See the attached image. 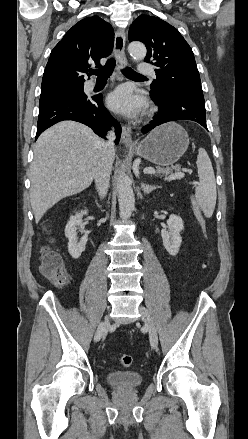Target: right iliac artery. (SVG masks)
Returning <instances> with one entry per match:
<instances>
[{
  "label": "right iliac artery",
  "instance_id": "1",
  "mask_svg": "<svg viewBox=\"0 0 248 439\" xmlns=\"http://www.w3.org/2000/svg\"><path fill=\"white\" fill-rule=\"evenodd\" d=\"M103 326H104V323L100 322L99 325L97 326V328L95 329V331H94L95 337H93V342H99L100 336H102V334H103V331H102Z\"/></svg>",
  "mask_w": 248,
  "mask_h": 439
}]
</instances>
